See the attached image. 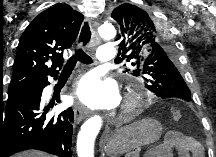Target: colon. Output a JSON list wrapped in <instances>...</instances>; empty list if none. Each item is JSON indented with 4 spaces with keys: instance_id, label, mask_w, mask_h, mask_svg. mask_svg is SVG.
I'll use <instances>...</instances> for the list:
<instances>
[{
    "instance_id": "colon-1",
    "label": "colon",
    "mask_w": 216,
    "mask_h": 157,
    "mask_svg": "<svg viewBox=\"0 0 216 157\" xmlns=\"http://www.w3.org/2000/svg\"><path fill=\"white\" fill-rule=\"evenodd\" d=\"M171 113L174 121L178 122L182 119V113L179 109H173Z\"/></svg>"
}]
</instances>
